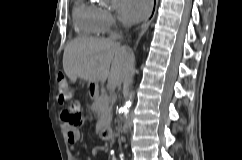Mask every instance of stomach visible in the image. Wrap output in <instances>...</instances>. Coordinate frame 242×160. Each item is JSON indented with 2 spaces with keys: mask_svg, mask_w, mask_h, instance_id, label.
Returning a JSON list of instances; mask_svg holds the SVG:
<instances>
[{
  "mask_svg": "<svg viewBox=\"0 0 242 160\" xmlns=\"http://www.w3.org/2000/svg\"><path fill=\"white\" fill-rule=\"evenodd\" d=\"M88 87L92 94H97L98 93V83L95 82H88Z\"/></svg>",
  "mask_w": 242,
  "mask_h": 160,
  "instance_id": "stomach-1",
  "label": "stomach"
}]
</instances>
